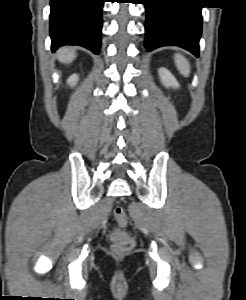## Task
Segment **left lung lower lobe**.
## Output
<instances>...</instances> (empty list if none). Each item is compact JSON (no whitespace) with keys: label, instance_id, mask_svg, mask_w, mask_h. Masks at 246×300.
<instances>
[{"label":"left lung lower lobe","instance_id":"0a47b994","mask_svg":"<svg viewBox=\"0 0 246 300\" xmlns=\"http://www.w3.org/2000/svg\"><path fill=\"white\" fill-rule=\"evenodd\" d=\"M197 0H145L147 51L180 46L199 56L202 32L201 5Z\"/></svg>","mask_w":246,"mask_h":300}]
</instances>
